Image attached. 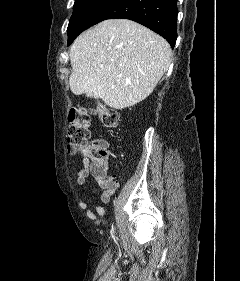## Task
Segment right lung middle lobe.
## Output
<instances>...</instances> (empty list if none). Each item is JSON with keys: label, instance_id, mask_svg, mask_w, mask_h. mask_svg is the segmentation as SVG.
I'll return each instance as SVG.
<instances>
[{"label": "right lung middle lobe", "instance_id": "1", "mask_svg": "<svg viewBox=\"0 0 240 281\" xmlns=\"http://www.w3.org/2000/svg\"><path fill=\"white\" fill-rule=\"evenodd\" d=\"M117 0H75L73 14L67 28L68 45L85 29L95 24L96 20Z\"/></svg>", "mask_w": 240, "mask_h": 281}]
</instances>
